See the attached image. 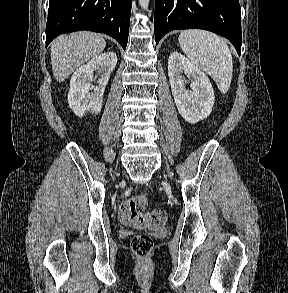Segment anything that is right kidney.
Instances as JSON below:
<instances>
[{"mask_svg": "<svg viewBox=\"0 0 288 293\" xmlns=\"http://www.w3.org/2000/svg\"><path fill=\"white\" fill-rule=\"evenodd\" d=\"M116 64L117 55L114 52H106L92 58L75 71L70 80L68 103L77 116L82 117L88 111H101L103 94ZM94 71L102 73L98 86L90 83ZM92 90L93 92H90Z\"/></svg>", "mask_w": 288, "mask_h": 293, "instance_id": "ca27d5eb", "label": "right kidney"}]
</instances>
